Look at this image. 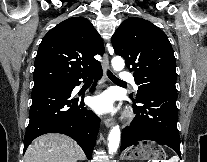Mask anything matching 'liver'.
<instances>
[{"instance_id":"1","label":"liver","mask_w":207,"mask_h":162,"mask_svg":"<svg viewBox=\"0 0 207 162\" xmlns=\"http://www.w3.org/2000/svg\"><path fill=\"white\" fill-rule=\"evenodd\" d=\"M85 154L76 141L58 133L36 138L27 148L24 162H77Z\"/></svg>"}]
</instances>
